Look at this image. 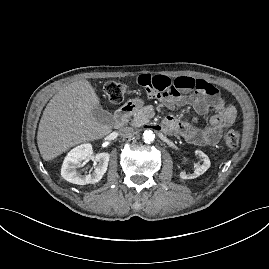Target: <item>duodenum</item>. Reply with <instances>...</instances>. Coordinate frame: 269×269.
<instances>
[{
    "label": "duodenum",
    "mask_w": 269,
    "mask_h": 269,
    "mask_svg": "<svg viewBox=\"0 0 269 269\" xmlns=\"http://www.w3.org/2000/svg\"><path fill=\"white\" fill-rule=\"evenodd\" d=\"M136 109V104L133 102H126L124 103L121 107H119L116 112H115V127L116 128H121L123 127L129 116L135 111ZM163 130H167V126L164 124L162 126Z\"/></svg>",
    "instance_id": "1"
}]
</instances>
